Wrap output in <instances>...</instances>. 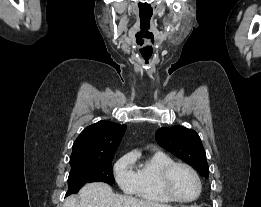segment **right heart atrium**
<instances>
[{
  "label": "right heart atrium",
  "mask_w": 261,
  "mask_h": 207,
  "mask_svg": "<svg viewBox=\"0 0 261 207\" xmlns=\"http://www.w3.org/2000/svg\"><path fill=\"white\" fill-rule=\"evenodd\" d=\"M113 171L119 187L127 194H134L137 189L138 176L132 155L126 154L120 157L115 163Z\"/></svg>",
  "instance_id": "obj_1"
}]
</instances>
